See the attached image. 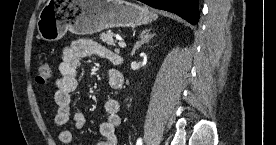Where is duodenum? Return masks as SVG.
I'll use <instances>...</instances> for the list:
<instances>
[{"label":"duodenum","instance_id":"1","mask_svg":"<svg viewBox=\"0 0 276 145\" xmlns=\"http://www.w3.org/2000/svg\"><path fill=\"white\" fill-rule=\"evenodd\" d=\"M114 62L116 64H121L123 62V59L122 57H119V56H116L115 59H114ZM123 75L121 72L117 71V74L116 76H114L112 79H111V85L113 87H120L122 84H123Z\"/></svg>","mask_w":276,"mask_h":145}]
</instances>
